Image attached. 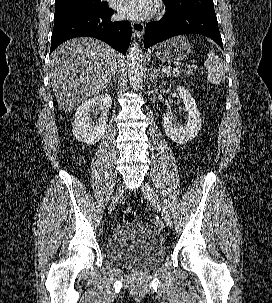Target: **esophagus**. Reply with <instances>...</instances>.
<instances>
[{
  "mask_svg": "<svg viewBox=\"0 0 272 303\" xmlns=\"http://www.w3.org/2000/svg\"><path fill=\"white\" fill-rule=\"evenodd\" d=\"M134 37L141 39L144 34V24L140 22H131Z\"/></svg>",
  "mask_w": 272,
  "mask_h": 303,
  "instance_id": "esophagus-1",
  "label": "esophagus"
}]
</instances>
